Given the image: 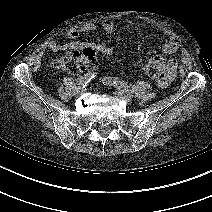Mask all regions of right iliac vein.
Returning a JSON list of instances; mask_svg holds the SVG:
<instances>
[{"mask_svg": "<svg viewBox=\"0 0 212 212\" xmlns=\"http://www.w3.org/2000/svg\"><path fill=\"white\" fill-rule=\"evenodd\" d=\"M83 93V89H80L76 92V95H81Z\"/></svg>", "mask_w": 212, "mask_h": 212, "instance_id": "1", "label": "right iliac vein"}]
</instances>
